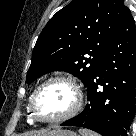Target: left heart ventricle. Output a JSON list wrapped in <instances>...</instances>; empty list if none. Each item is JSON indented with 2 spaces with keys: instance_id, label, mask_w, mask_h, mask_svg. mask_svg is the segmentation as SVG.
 Masks as SVG:
<instances>
[{
  "instance_id": "b2bd125f",
  "label": "left heart ventricle",
  "mask_w": 136,
  "mask_h": 136,
  "mask_svg": "<svg viewBox=\"0 0 136 136\" xmlns=\"http://www.w3.org/2000/svg\"><path fill=\"white\" fill-rule=\"evenodd\" d=\"M73 103L74 93L72 89L64 83L53 82L38 94L35 111L41 118H56L69 111Z\"/></svg>"
}]
</instances>
